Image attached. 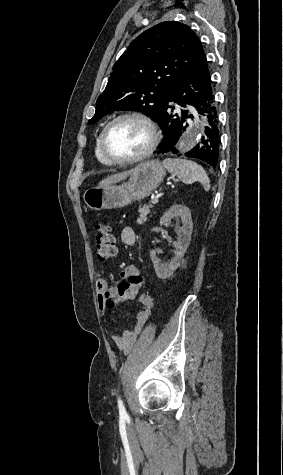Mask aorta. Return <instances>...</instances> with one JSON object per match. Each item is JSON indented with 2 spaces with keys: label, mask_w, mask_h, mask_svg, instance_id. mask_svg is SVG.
<instances>
[{
  "label": "aorta",
  "mask_w": 283,
  "mask_h": 475,
  "mask_svg": "<svg viewBox=\"0 0 283 475\" xmlns=\"http://www.w3.org/2000/svg\"><path fill=\"white\" fill-rule=\"evenodd\" d=\"M205 125V123L197 124L195 127L191 128L189 133L179 140L177 147L181 151H185L192 148L196 144V142H199L200 136L203 133Z\"/></svg>",
  "instance_id": "aorta-1"
}]
</instances>
